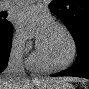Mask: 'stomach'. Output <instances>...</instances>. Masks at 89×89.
I'll list each match as a JSON object with an SVG mask.
<instances>
[{"label": "stomach", "instance_id": "0dacf381", "mask_svg": "<svg viewBox=\"0 0 89 89\" xmlns=\"http://www.w3.org/2000/svg\"><path fill=\"white\" fill-rule=\"evenodd\" d=\"M38 89H75L71 84L69 83H62V84H47L44 86L38 87Z\"/></svg>", "mask_w": 89, "mask_h": 89}]
</instances>
